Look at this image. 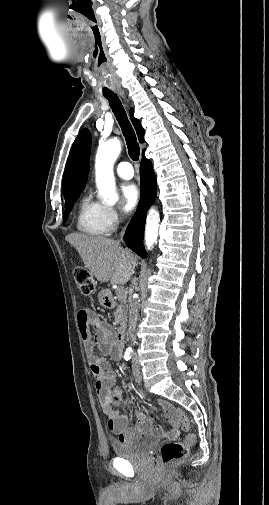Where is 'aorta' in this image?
<instances>
[{
    "label": "aorta",
    "mask_w": 269,
    "mask_h": 505,
    "mask_svg": "<svg viewBox=\"0 0 269 505\" xmlns=\"http://www.w3.org/2000/svg\"><path fill=\"white\" fill-rule=\"evenodd\" d=\"M120 152V140L112 138L99 145L95 159L98 196L103 202L111 205L115 204L118 200L113 166ZM159 223V212L154 207H151L148 211L145 225V246L147 250H151L157 242Z\"/></svg>",
    "instance_id": "obj_1"
}]
</instances>
